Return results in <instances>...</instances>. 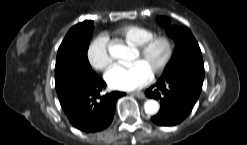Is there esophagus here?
I'll use <instances>...</instances> for the list:
<instances>
[{
  "label": "esophagus",
  "mask_w": 247,
  "mask_h": 145,
  "mask_svg": "<svg viewBox=\"0 0 247 145\" xmlns=\"http://www.w3.org/2000/svg\"><path fill=\"white\" fill-rule=\"evenodd\" d=\"M132 95H134L135 97L139 98V99H144L145 98V94L141 91H136L133 92Z\"/></svg>",
  "instance_id": "34e87169"
}]
</instances>
